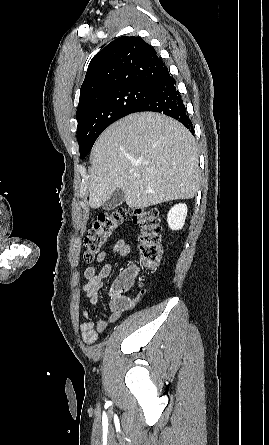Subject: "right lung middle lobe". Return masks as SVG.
<instances>
[{
  "label": "right lung middle lobe",
  "instance_id": "obj_1",
  "mask_svg": "<svg viewBox=\"0 0 269 445\" xmlns=\"http://www.w3.org/2000/svg\"><path fill=\"white\" fill-rule=\"evenodd\" d=\"M151 85H129L86 102L76 112L80 157L87 156L98 136L116 120L131 114L151 94Z\"/></svg>",
  "mask_w": 269,
  "mask_h": 445
}]
</instances>
